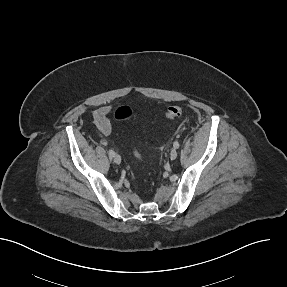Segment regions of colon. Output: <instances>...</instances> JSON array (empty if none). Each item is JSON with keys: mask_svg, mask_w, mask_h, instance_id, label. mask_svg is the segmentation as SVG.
<instances>
[{"mask_svg": "<svg viewBox=\"0 0 287 287\" xmlns=\"http://www.w3.org/2000/svg\"><path fill=\"white\" fill-rule=\"evenodd\" d=\"M184 112V108L181 105H172L167 108V110L164 113V117L167 120H174L178 117H180ZM133 116V111L128 106H120L116 109L114 113V117L116 120L124 121L126 119H129ZM135 156L138 157V154L135 153Z\"/></svg>", "mask_w": 287, "mask_h": 287, "instance_id": "colon-1", "label": "colon"}]
</instances>
